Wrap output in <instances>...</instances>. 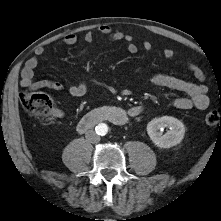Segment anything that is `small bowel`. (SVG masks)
<instances>
[{"label":"small bowel","mask_w":221,"mask_h":221,"mask_svg":"<svg viewBox=\"0 0 221 221\" xmlns=\"http://www.w3.org/2000/svg\"><path fill=\"white\" fill-rule=\"evenodd\" d=\"M101 36L109 41L118 42L125 41L126 49L130 54H136L139 50L137 44L133 41L130 35L124 34L122 32L114 31L108 25H102L97 28L95 32L88 31L84 34L83 40L86 44H91L94 42L96 37ZM78 41V38L73 33H68L63 37V42L67 45H74ZM142 47L145 51H150L153 49V44L150 41H145L142 44ZM85 50L83 51V53ZM44 48L38 47L35 50V55L29 58L22 71H21V85L24 88L30 90L38 89H53V90H62L64 89V84L57 80L51 79H34V70L38 66L39 58L43 55ZM175 55V52L171 48H166L163 51V56L166 59H172ZM188 70L193 75V77L198 81L197 83L191 82L185 79L174 77L164 73H156L151 77V83L155 86L165 87L177 92L184 94V96L178 97L174 100V107L179 110H188L196 108L198 110H205L209 104L210 99L207 94V87L203 83L205 80L204 72L194 63L188 64ZM88 86L86 82L81 81L77 84L71 85L68 87V92L75 97H80L86 94ZM138 106L131 107L129 112L132 116L136 115V110Z\"/></svg>","instance_id":"small-bowel-1"}]
</instances>
